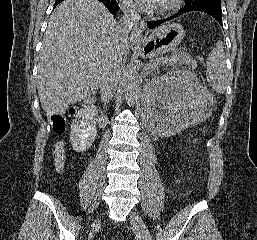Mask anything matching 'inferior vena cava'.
<instances>
[{
	"label": "inferior vena cava",
	"instance_id": "1",
	"mask_svg": "<svg viewBox=\"0 0 257 240\" xmlns=\"http://www.w3.org/2000/svg\"><path fill=\"white\" fill-rule=\"evenodd\" d=\"M122 11L123 16L117 25V40L115 44L116 51L112 57V63L107 70L100 87L103 102H109L115 94L121 73V58L119 55V48L127 41L130 30L139 20V11L135 5L131 3H124L122 5Z\"/></svg>",
	"mask_w": 257,
	"mask_h": 240
}]
</instances>
